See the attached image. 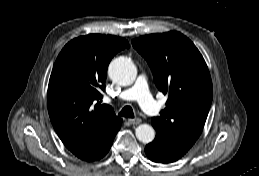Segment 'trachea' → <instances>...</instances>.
Masks as SVG:
<instances>
[{"mask_svg":"<svg viewBox=\"0 0 259 176\" xmlns=\"http://www.w3.org/2000/svg\"><path fill=\"white\" fill-rule=\"evenodd\" d=\"M120 116L133 118L134 113L131 106H125L119 113Z\"/></svg>","mask_w":259,"mask_h":176,"instance_id":"3493384b","label":"trachea"}]
</instances>
